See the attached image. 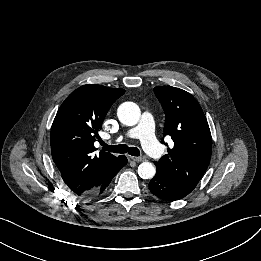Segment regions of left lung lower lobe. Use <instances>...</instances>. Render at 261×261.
Listing matches in <instances>:
<instances>
[{
	"mask_svg": "<svg viewBox=\"0 0 261 261\" xmlns=\"http://www.w3.org/2000/svg\"><path fill=\"white\" fill-rule=\"evenodd\" d=\"M149 189L155 196L165 201H176L188 195L175 188L159 170H157L154 178L151 179Z\"/></svg>",
	"mask_w": 261,
	"mask_h": 261,
	"instance_id": "obj_1",
	"label": "left lung lower lobe"
}]
</instances>
